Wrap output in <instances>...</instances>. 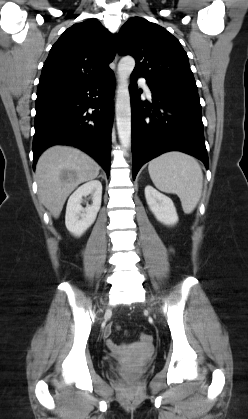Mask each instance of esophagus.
I'll return each instance as SVG.
<instances>
[{
  "instance_id": "obj_1",
  "label": "esophagus",
  "mask_w": 248,
  "mask_h": 419,
  "mask_svg": "<svg viewBox=\"0 0 248 419\" xmlns=\"http://www.w3.org/2000/svg\"><path fill=\"white\" fill-rule=\"evenodd\" d=\"M118 58H119V56H118V54H117V55H116V57H115V63H117Z\"/></svg>"
}]
</instances>
